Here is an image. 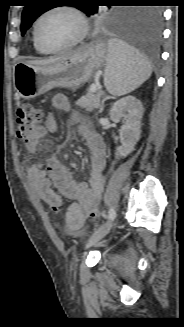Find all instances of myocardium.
Listing matches in <instances>:
<instances>
[{"instance_id": "myocardium-1", "label": "myocardium", "mask_w": 184, "mask_h": 327, "mask_svg": "<svg viewBox=\"0 0 184 327\" xmlns=\"http://www.w3.org/2000/svg\"><path fill=\"white\" fill-rule=\"evenodd\" d=\"M56 11H65V12L72 14L76 18V20L80 26V31H79V34L77 35V37L70 43L60 46V47L51 48V47L44 45L40 41L39 36H38V26L43 18H45L47 15H49L53 12H56ZM88 33H89V24H88V21H87L85 15L77 7L71 6V5H56V6H52L48 9H46L44 12H42L38 16V18L36 19L34 26H33L34 43L41 50H43L47 53H57V52L69 50V49L79 45L80 43H82L84 41V39L87 37Z\"/></svg>"}]
</instances>
